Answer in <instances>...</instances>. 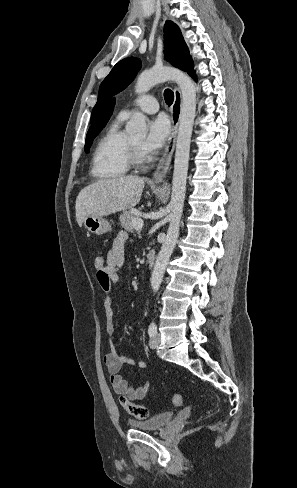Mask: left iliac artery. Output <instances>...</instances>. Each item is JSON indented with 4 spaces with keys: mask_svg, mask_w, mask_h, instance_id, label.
Listing matches in <instances>:
<instances>
[{
    "mask_svg": "<svg viewBox=\"0 0 297 488\" xmlns=\"http://www.w3.org/2000/svg\"><path fill=\"white\" fill-rule=\"evenodd\" d=\"M156 333H157V326H156V324L154 322H152L149 325L148 334H149L150 337H153Z\"/></svg>",
    "mask_w": 297,
    "mask_h": 488,
    "instance_id": "1",
    "label": "left iliac artery"
}]
</instances>
